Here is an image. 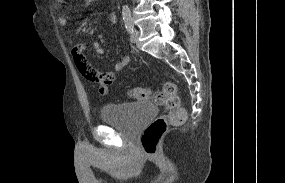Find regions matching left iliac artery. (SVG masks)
Instances as JSON below:
<instances>
[{"label": "left iliac artery", "mask_w": 285, "mask_h": 183, "mask_svg": "<svg viewBox=\"0 0 285 183\" xmlns=\"http://www.w3.org/2000/svg\"><path fill=\"white\" fill-rule=\"evenodd\" d=\"M122 15H123V20H124L125 27H126L127 31L129 33H132L134 26H133V22H132V18H131L130 9L127 6L123 7Z\"/></svg>", "instance_id": "obj_1"}]
</instances>
